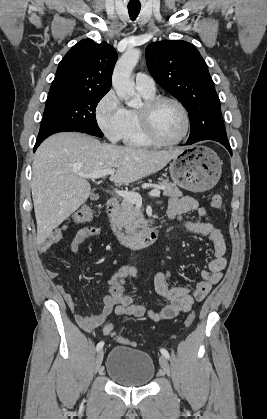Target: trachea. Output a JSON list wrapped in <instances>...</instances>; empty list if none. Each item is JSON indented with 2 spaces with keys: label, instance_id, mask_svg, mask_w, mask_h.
<instances>
[{
  "label": "trachea",
  "instance_id": "obj_1",
  "mask_svg": "<svg viewBox=\"0 0 267 419\" xmlns=\"http://www.w3.org/2000/svg\"><path fill=\"white\" fill-rule=\"evenodd\" d=\"M141 6H128V13L131 18V20H135L137 16L139 15Z\"/></svg>",
  "mask_w": 267,
  "mask_h": 419
}]
</instances>
